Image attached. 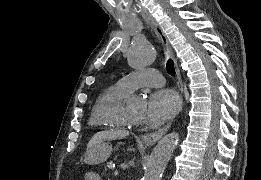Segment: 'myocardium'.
<instances>
[{
	"instance_id": "obj_1",
	"label": "myocardium",
	"mask_w": 261,
	"mask_h": 180,
	"mask_svg": "<svg viewBox=\"0 0 261 180\" xmlns=\"http://www.w3.org/2000/svg\"><path fill=\"white\" fill-rule=\"evenodd\" d=\"M123 113H124V108H120L115 115L117 128L121 132H125L127 135H132V136L141 135L145 128V123L141 125L128 123L123 119Z\"/></svg>"
}]
</instances>
